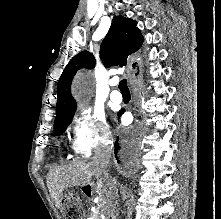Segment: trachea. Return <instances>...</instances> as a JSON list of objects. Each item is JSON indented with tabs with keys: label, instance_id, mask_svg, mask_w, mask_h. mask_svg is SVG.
<instances>
[{
	"label": "trachea",
	"instance_id": "3493384b",
	"mask_svg": "<svg viewBox=\"0 0 221 219\" xmlns=\"http://www.w3.org/2000/svg\"><path fill=\"white\" fill-rule=\"evenodd\" d=\"M119 89L123 92V91H129V88H128V86H127V81H126V79H123V80H121L120 81V83H119Z\"/></svg>",
	"mask_w": 221,
	"mask_h": 219
}]
</instances>
